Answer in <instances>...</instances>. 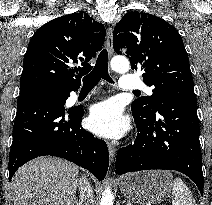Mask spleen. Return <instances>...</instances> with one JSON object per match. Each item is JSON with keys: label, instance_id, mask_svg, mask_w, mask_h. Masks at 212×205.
<instances>
[{"label": "spleen", "instance_id": "3e777b00", "mask_svg": "<svg viewBox=\"0 0 212 205\" xmlns=\"http://www.w3.org/2000/svg\"><path fill=\"white\" fill-rule=\"evenodd\" d=\"M172 195L173 205H197L191 191L179 177L173 181Z\"/></svg>", "mask_w": 212, "mask_h": 205}]
</instances>
